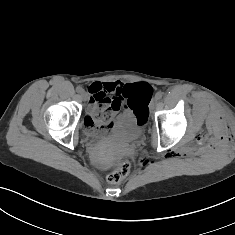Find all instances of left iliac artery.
I'll list each match as a JSON object with an SVG mask.
<instances>
[{
    "instance_id": "left-iliac-artery-1",
    "label": "left iliac artery",
    "mask_w": 235,
    "mask_h": 235,
    "mask_svg": "<svg viewBox=\"0 0 235 235\" xmlns=\"http://www.w3.org/2000/svg\"><path fill=\"white\" fill-rule=\"evenodd\" d=\"M162 96H163V93H162L161 91H159V92H157V93L155 94V98H156L157 100L161 99Z\"/></svg>"
}]
</instances>
